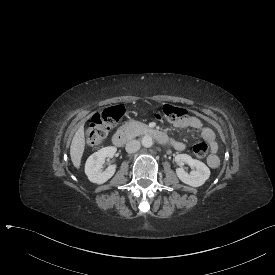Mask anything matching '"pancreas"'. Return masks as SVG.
Masks as SVG:
<instances>
[{"label": "pancreas", "instance_id": "obj_1", "mask_svg": "<svg viewBox=\"0 0 275 275\" xmlns=\"http://www.w3.org/2000/svg\"><path fill=\"white\" fill-rule=\"evenodd\" d=\"M148 128L149 127L146 124L132 120L130 122H126L117 130V132H122L128 137V139H133L136 136L147 132Z\"/></svg>", "mask_w": 275, "mask_h": 275}]
</instances>
